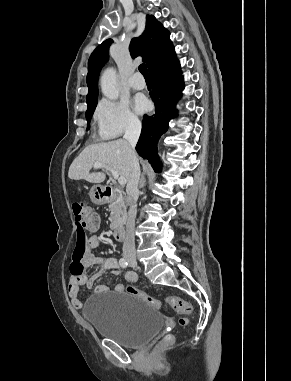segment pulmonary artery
Instances as JSON below:
<instances>
[{
    "mask_svg": "<svg viewBox=\"0 0 291 381\" xmlns=\"http://www.w3.org/2000/svg\"><path fill=\"white\" fill-rule=\"evenodd\" d=\"M130 86L135 90H142L145 87V81L140 73H135L130 79Z\"/></svg>",
    "mask_w": 291,
    "mask_h": 381,
    "instance_id": "1",
    "label": "pulmonary artery"
}]
</instances>
